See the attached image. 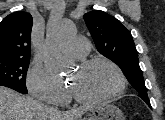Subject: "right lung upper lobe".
I'll return each mask as SVG.
<instances>
[{
  "instance_id": "right-lung-upper-lobe-1",
  "label": "right lung upper lobe",
  "mask_w": 165,
  "mask_h": 120,
  "mask_svg": "<svg viewBox=\"0 0 165 120\" xmlns=\"http://www.w3.org/2000/svg\"><path fill=\"white\" fill-rule=\"evenodd\" d=\"M32 16L14 12L0 23V58L30 59Z\"/></svg>"
}]
</instances>
